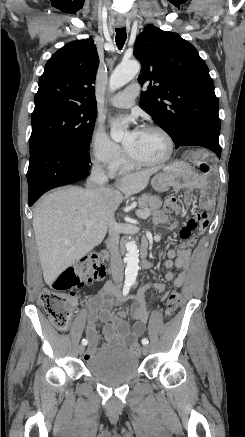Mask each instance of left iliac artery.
Segmentation results:
<instances>
[{
  "instance_id": "obj_1",
  "label": "left iliac artery",
  "mask_w": 245,
  "mask_h": 437,
  "mask_svg": "<svg viewBox=\"0 0 245 437\" xmlns=\"http://www.w3.org/2000/svg\"><path fill=\"white\" fill-rule=\"evenodd\" d=\"M142 344H143V345L148 344V339H147V338H143V339H142Z\"/></svg>"
}]
</instances>
